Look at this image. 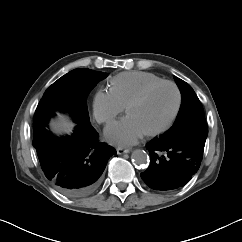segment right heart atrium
<instances>
[{
  "instance_id": "d8ad5b80",
  "label": "right heart atrium",
  "mask_w": 242,
  "mask_h": 242,
  "mask_svg": "<svg viewBox=\"0 0 242 242\" xmlns=\"http://www.w3.org/2000/svg\"><path fill=\"white\" fill-rule=\"evenodd\" d=\"M125 106L111 89H100L93 99V113L99 123L112 122L124 111Z\"/></svg>"
}]
</instances>
